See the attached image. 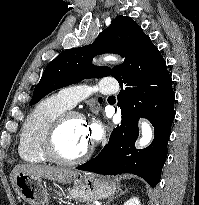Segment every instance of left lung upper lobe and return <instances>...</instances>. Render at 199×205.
Instances as JSON below:
<instances>
[{
  "mask_svg": "<svg viewBox=\"0 0 199 205\" xmlns=\"http://www.w3.org/2000/svg\"><path fill=\"white\" fill-rule=\"evenodd\" d=\"M141 31V27L130 17L118 16L91 45L63 51L46 66L41 80L34 89L30 105L56 89L83 79L105 76L116 78L121 65L113 68L94 66L91 64L93 57L114 53L126 58Z\"/></svg>",
  "mask_w": 199,
  "mask_h": 205,
  "instance_id": "left-lung-upper-lobe-1",
  "label": "left lung upper lobe"
}]
</instances>
